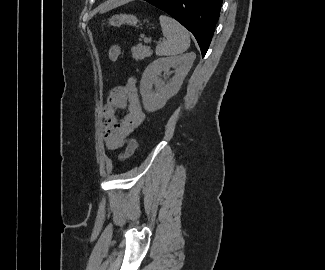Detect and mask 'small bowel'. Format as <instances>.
<instances>
[{"mask_svg":"<svg viewBox=\"0 0 325 270\" xmlns=\"http://www.w3.org/2000/svg\"><path fill=\"white\" fill-rule=\"evenodd\" d=\"M118 110H126L121 121L116 117ZM103 120V140L106 147L112 150L121 147L128 136L145 121L134 78L111 89L103 109Z\"/></svg>","mask_w":325,"mask_h":270,"instance_id":"obj_1","label":"small bowel"}]
</instances>
